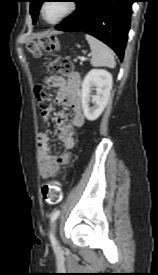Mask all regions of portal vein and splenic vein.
<instances>
[{
	"label": "portal vein and splenic vein",
	"mask_w": 158,
	"mask_h": 275,
	"mask_svg": "<svg viewBox=\"0 0 158 275\" xmlns=\"http://www.w3.org/2000/svg\"><path fill=\"white\" fill-rule=\"evenodd\" d=\"M80 60H81V61H85L86 58H85L84 56H81V57H80Z\"/></svg>",
	"instance_id": "obj_1"
}]
</instances>
